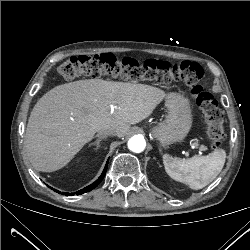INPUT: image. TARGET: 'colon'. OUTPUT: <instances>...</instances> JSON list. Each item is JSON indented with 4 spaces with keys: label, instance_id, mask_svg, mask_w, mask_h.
Here are the masks:
<instances>
[{
    "label": "colon",
    "instance_id": "1",
    "mask_svg": "<svg viewBox=\"0 0 250 250\" xmlns=\"http://www.w3.org/2000/svg\"><path fill=\"white\" fill-rule=\"evenodd\" d=\"M58 72L65 80L109 76L160 84L181 81L188 86L196 105L204 114L207 134L212 146L218 148L225 140L223 112L212 94L204 88L202 84L204 71L197 63L167 59L118 58L113 54L105 53L72 56L59 66Z\"/></svg>",
    "mask_w": 250,
    "mask_h": 250
}]
</instances>
